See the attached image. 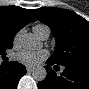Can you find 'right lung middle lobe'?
I'll return each instance as SVG.
<instances>
[{
	"instance_id": "right-lung-middle-lobe-1",
	"label": "right lung middle lobe",
	"mask_w": 89,
	"mask_h": 89,
	"mask_svg": "<svg viewBox=\"0 0 89 89\" xmlns=\"http://www.w3.org/2000/svg\"><path fill=\"white\" fill-rule=\"evenodd\" d=\"M13 41L0 39V54H5L6 49L12 48Z\"/></svg>"
}]
</instances>
